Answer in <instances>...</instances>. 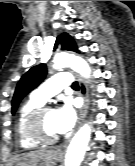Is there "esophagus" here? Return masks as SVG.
Wrapping results in <instances>:
<instances>
[{"label":"esophagus","instance_id":"34e87169","mask_svg":"<svg viewBox=\"0 0 135 166\" xmlns=\"http://www.w3.org/2000/svg\"><path fill=\"white\" fill-rule=\"evenodd\" d=\"M78 81H79V86H80V95L83 99V104L80 109L79 123H78V126H80L82 121L84 120L86 110H87V87H86L84 80L81 77H78ZM59 151H60V149L56 150V152H59Z\"/></svg>","mask_w":135,"mask_h":166}]
</instances>
